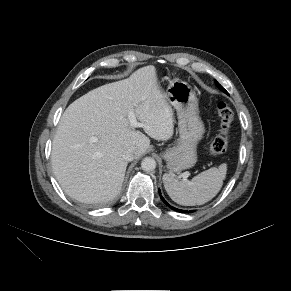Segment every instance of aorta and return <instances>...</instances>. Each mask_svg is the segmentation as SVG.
I'll list each match as a JSON object with an SVG mask.
<instances>
[{
  "label": "aorta",
  "instance_id": "762f6f07",
  "mask_svg": "<svg viewBox=\"0 0 291 291\" xmlns=\"http://www.w3.org/2000/svg\"><path fill=\"white\" fill-rule=\"evenodd\" d=\"M141 168L144 171H153L156 168V161L152 157H146L141 162Z\"/></svg>",
  "mask_w": 291,
  "mask_h": 291
}]
</instances>
